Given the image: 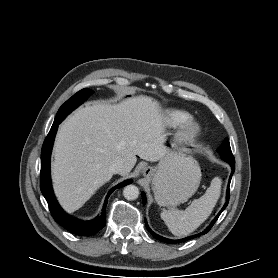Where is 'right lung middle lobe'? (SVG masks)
Masks as SVG:
<instances>
[{
    "mask_svg": "<svg viewBox=\"0 0 278 278\" xmlns=\"http://www.w3.org/2000/svg\"><path fill=\"white\" fill-rule=\"evenodd\" d=\"M90 94H92V91L88 88L82 89L81 91L77 92L60 107L55 120H63L72 110L83 103Z\"/></svg>",
    "mask_w": 278,
    "mask_h": 278,
    "instance_id": "right-lung-middle-lobe-1",
    "label": "right lung middle lobe"
}]
</instances>
